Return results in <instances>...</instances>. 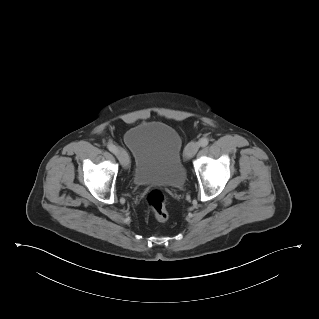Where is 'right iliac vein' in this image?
Instances as JSON below:
<instances>
[{"mask_svg": "<svg viewBox=\"0 0 319 319\" xmlns=\"http://www.w3.org/2000/svg\"><path fill=\"white\" fill-rule=\"evenodd\" d=\"M116 156L124 168H127L129 166V158L126 151L123 148H117Z\"/></svg>", "mask_w": 319, "mask_h": 319, "instance_id": "obj_1", "label": "right iliac vein"}]
</instances>
